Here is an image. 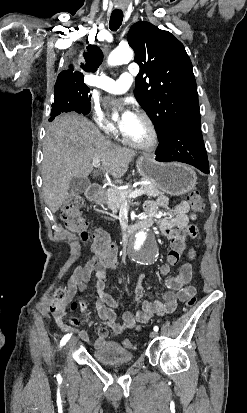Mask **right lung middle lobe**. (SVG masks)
I'll return each instance as SVG.
<instances>
[{"instance_id":"obj_1","label":"right lung middle lobe","mask_w":247,"mask_h":413,"mask_svg":"<svg viewBox=\"0 0 247 413\" xmlns=\"http://www.w3.org/2000/svg\"><path fill=\"white\" fill-rule=\"evenodd\" d=\"M89 92L90 89L84 81L60 82L55 84L54 98L73 97L90 106L91 95H89Z\"/></svg>"}]
</instances>
